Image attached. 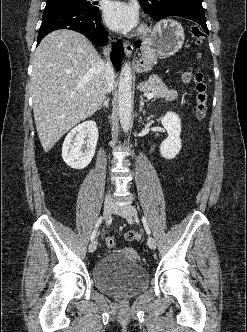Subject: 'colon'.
I'll use <instances>...</instances> for the list:
<instances>
[{
  "instance_id": "1",
  "label": "colon",
  "mask_w": 247,
  "mask_h": 332,
  "mask_svg": "<svg viewBox=\"0 0 247 332\" xmlns=\"http://www.w3.org/2000/svg\"><path fill=\"white\" fill-rule=\"evenodd\" d=\"M190 33L197 44H201L206 38L205 32L197 26H191ZM190 76L189 72L185 73L184 80L188 81ZM195 92V114L198 119H203L207 112L208 86L203 73L199 70L195 74ZM125 238L129 241L138 240L140 239V234L135 231H128L125 234ZM105 242L108 248L116 246V242L112 237L106 238Z\"/></svg>"
}]
</instances>
